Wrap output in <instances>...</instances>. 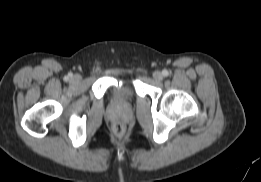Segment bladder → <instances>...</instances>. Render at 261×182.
Segmentation results:
<instances>
[{
	"mask_svg": "<svg viewBox=\"0 0 261 182\" xmlns=\"http://www.w3.org/2000/svg\"><path fill=\"white\" fill-rule=\"evenodd\" d=\"M115 93L122 103H129L134 96V87L131 83L124 82L116 88Z\"/></svg>",
	"mask_w": 261,
	"mask_h": 182,
	"instance_id": "obj_1",
	"label": "bladder"
}]
</instances>
